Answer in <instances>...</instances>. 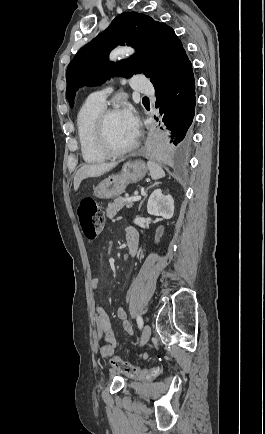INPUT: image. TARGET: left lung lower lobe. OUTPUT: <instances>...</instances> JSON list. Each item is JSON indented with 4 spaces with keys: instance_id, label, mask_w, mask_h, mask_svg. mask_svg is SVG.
Listing matches in <instances>:
<instances>
[{
    "instance_id": "1",
    "label": "left lung lower lobe",
    "mask_w": 265,
    "mask_h": 434,
    "mask_svg": "<svg viewBox=\"0 0 265 434\" xmlns=\"http://www.w3.org/2000/svg\"><path fill=\"white\" fill-rule=\"evenodd\" d=\"M160 106L165 138L156 139L153 149L162 154H182L193 141L195 113V79L191 61L182 55L162 85L155 88Z\"/></svg>"
}]
</instances>
